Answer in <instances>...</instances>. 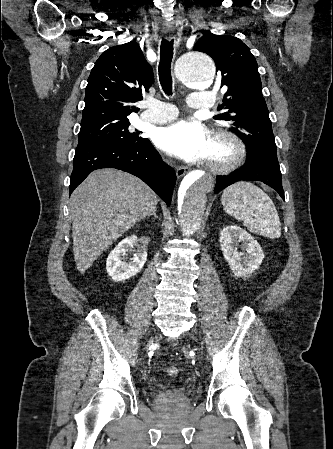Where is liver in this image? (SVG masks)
Segmentation results:
<instances>
[{
	"label": "liver",
	"mask_w": 333,
	"mask_h": 449,
	"mask_svg": "<svg viewBox=\"0 0 333 449\" xmlns=\"http://www.w3.org/2000/svg\"><path fill=\"white\" fill-rule=\"evenodd\" d=\"M157 195L137 177L116 169L93 171L70 197L73 252L84 273L114 241L152 214Z\"/></svg>",
	"instance_id": "obj_1"
}]
</instances>
